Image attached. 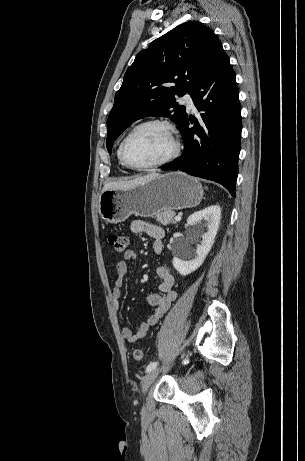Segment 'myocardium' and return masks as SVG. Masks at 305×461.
<instances>
[{
	"label": "myocardium",
	"mask_w": 305,
	"mask_h": 461,
	"mask_svg": "<svg viewBox=\"0 0 305 461\" xmlns=\"http://www.w3.org/2000/svg\"><path fill=\"white\" fill-rule=\"evenodd\" d=\"M148 126H159L167 131L173 143L172 151L166 157L154 163L145 164V165L134 164L127 155L128 142L139 130L145 127H148ZM180 150H181V144H180V140L178 138L175 128L168 121L161 120V119H150V120L139 123L125 136V138L122 140V143H121V157H122L123 162L126 164L127 167L131 169H135V170H151V169L164 166L170 163L171 161H173L175 158H177L178 155L180 154Z\"/></svg>",
	"instance_id": "myocardium-1"
}]
</instances>
